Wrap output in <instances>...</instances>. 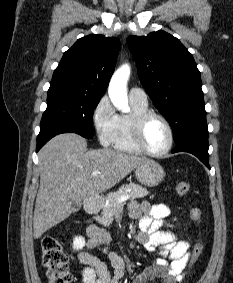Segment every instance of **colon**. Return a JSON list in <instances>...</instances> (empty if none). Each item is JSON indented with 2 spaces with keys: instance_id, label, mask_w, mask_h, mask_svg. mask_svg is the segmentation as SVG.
<instances>
[{
  "instance_id": "colon-1",
  "label": "colon",
  "mask_w": 233,
  "mask_h": 283,
  "mask_svg": "<svg viewBox=\"0 0 233 283\" xmlns=\"http://www.w3.org/2000/svg\"><path fill=\"white\" fill-rule=\"evenodd\" d=\"M176 192L179 195H185L190 190V184L181 180L176 184ZM190 217L195 223H200L202 214L199 208L193 207L190 210ZM42 265L45 268L49 283H71L72 275L69 270L68 258L63 250L61 243L50 235H44L41 239ZM204 250V241L199 237L192 254L190 256V265L194 264Z\"/></svg>"
}]
</instances>
